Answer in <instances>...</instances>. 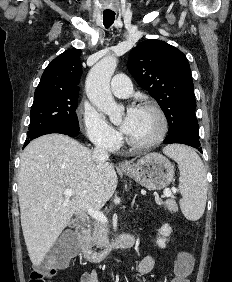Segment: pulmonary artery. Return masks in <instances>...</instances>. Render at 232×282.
<instances>
[{
	"mask_svg": "<svg viewBox=\"0 0 232 282\" xmlns=\"http://www.w3.org/2000/svg\"><path fill=\"white\" fill-rule=\"evenodd\" d=\"M111 92L118 98L128 97L132 92L130 79L125 74H117L111 81Z\"/></svg>",
	"mask_w": 232,
	"mask_h": 282,
	"instance_id": "1",
	"label": "pulmonary artery"
}]
</instances>
